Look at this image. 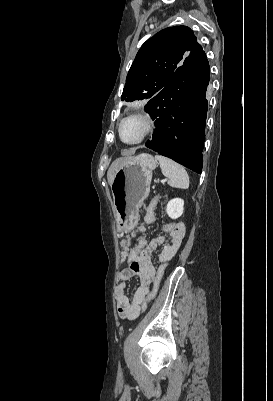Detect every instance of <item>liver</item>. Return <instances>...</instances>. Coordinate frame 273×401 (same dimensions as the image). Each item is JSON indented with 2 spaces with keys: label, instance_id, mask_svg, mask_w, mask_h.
<instances>
[{
  "label": "liver",
  "instance_id": "liver-1",
  "mask_svg": "<svg viewBox=\"0 0 273 401\" xmlns=\"http://www.w3.org/2000/svg\"><path fill=\"white\" fill-rule=\"evenodd\" d=\"M136 148H132V150H130V152H128L127 156H121V158H116V160H113L112 164H110L108 170H107V180L111 186L113 180H114V176L117 172V170H119V168H121L122 164H125V162H127V160H135V158H139V154L138 156H132V154H134Z\"/></svg>",
  "mask_w": 273,
  "mask_h": 401
}]
</instances>
